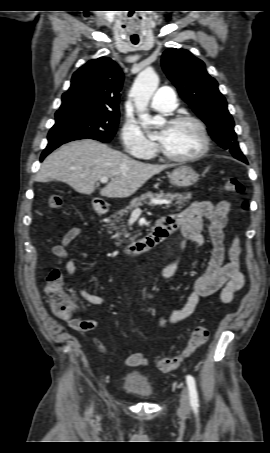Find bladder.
<instances>
[{"label": "bladder", "instance_id": "1", "mask_svg": "<svg viewBox=\"0 0 270 453\" xmlns=\"http://www.w3.org/2000/svg\"><path fill=\"white\" fill-rule=\"evenodd\" d=\"M123 389L143 399L153 395V386L149 378L138 371L130 372L125 376Z\"/></svg>", "mask_w": 270, "mask_h": 453}]
</instances>
